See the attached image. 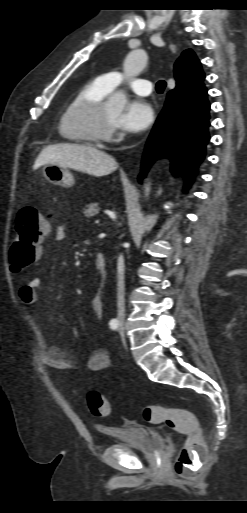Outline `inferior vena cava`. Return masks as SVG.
I'll return each instance as SVG.
<instances>
[{"label": "inferior vena cava", "mask_w": 247, "mask_h": 513, "mask_svg": "<svg viewBox=\"0 0 247 513\" xmlns=\"http://www.w3.org/2000/svg\"><path fill=\"white\" fill-rule=\"evenodd\" d=\"M117 317L124 318L125 300H124V259L120 255L117 264Z\"/></svg>", "instance_id": "602c4592"}]
</instances>
